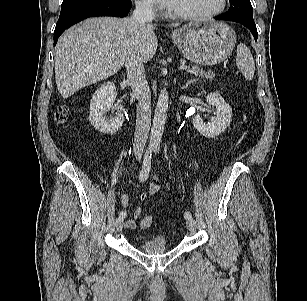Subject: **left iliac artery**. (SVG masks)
<instances>
[{
  "label": "left iliac artery",
  "instance_id": "obj_1",
  "mask_svg": "<svg viewBox=\"0 0 307 301\" xmlns=\"http://www.w3.org/2000/svg\"><path fill=\"white\" fill-rule=\"evenodd\" d=\"M155 151H156L157 153H159V147H156V148H155ZM184 217H185L186 219L192 218V214H191L189 211H186V212L184 213Z\"/></svg>",
  "mask_w": 307,
  "mask_h": 301
}]
</instances>
